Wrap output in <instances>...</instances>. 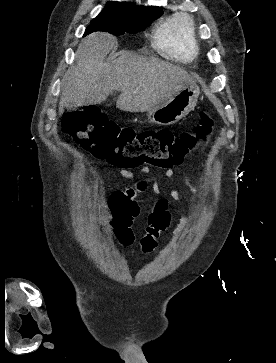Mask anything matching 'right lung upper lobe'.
Masks as SVG:
<instances>
[{"instance_id": "right-lung-upper-lobe-1", "label": "right lung upper lobe", "mask_w": 276, "mask_h": 363, "mask_svg": "<svg viewBox=\"0 0 276 363\" xmlns=\"http://www.w3.org/2000/svg\"><path fill=\"white\" fill-rule=\"evenodd\" d=\"M107 5L127 7V6H131V5H135V4H132V3L109 2ZM154 8H159V7H154Z\"/></svg>"}]
</instances>
